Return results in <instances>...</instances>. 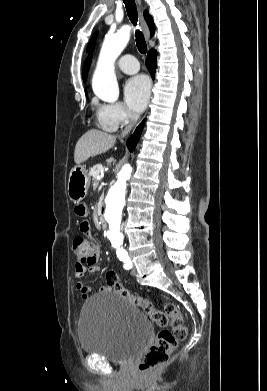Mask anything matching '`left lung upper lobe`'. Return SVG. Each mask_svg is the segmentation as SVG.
<instances>
[{
	"mask_svg": "<svg viewBox=\"0 0 267 391\" xmlns=\"http://www.w3.org/2000/svg\"><path fill=\"white\" fill-rule=\"evenodd\" d=\"M96 36H97V32L94 34L92 41L96 38Z\"/></svg>",
	"mask_w": 267,
	"mask_h": 391,
	"instance_id": "obj_1",
	"label": "left lung upper lobe"
}]
</instances>
